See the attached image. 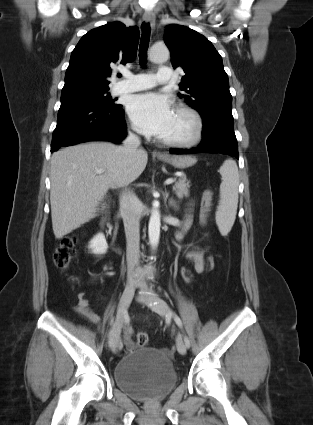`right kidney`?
<instances>
[{"label": "right kidney", "instance_id": "ca27d5eb", "mask_svg": "<svg viewBox=\"0 0 313 425\" xmlns=\"http://www.w3.org/2000/svg\"><path fill=\"white\" fill-rule=\"evenodd\" d=\"M89 248L94 254H104L108 249L105 236L102 233L97 234L89 243Z\"/></svg>", "mask_w": 313, "mask_h": 425}]
</instances>
